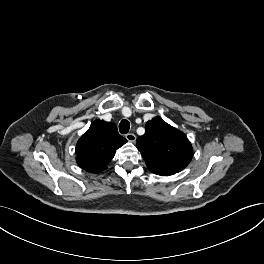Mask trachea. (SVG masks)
<instances>
[{
  "instance_id": "obj_1",
  "label": "trachea",
  "mask_w": 264,
  "mask_h": 264,
  "mask_svg": "<svg viewBox=\"0 0 264 264\" xmlns=\"http://www.w3.org/2000/svg\"><path fill=\"white\" fill-rule=\"evenodd\" d=\"M129 129H130V123H129V121L126 120V119H123L120 122V124H119V131H120V133L121 134H126V133H128Z\"/></svg>"
}]
</instances>
